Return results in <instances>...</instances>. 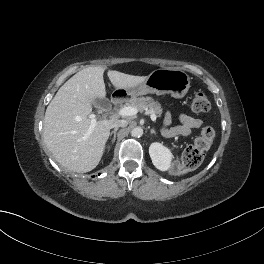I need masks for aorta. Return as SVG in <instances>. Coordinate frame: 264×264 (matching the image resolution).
Here are the masks:
<instances>
[{"label": "aorta", "mask_w": 264, "mask_h": 264, "mask_svg": "<svg viewBox=\"0 0 264 264\" xmlns=\"http://www.w3.org/2000/svg\"><path fill=\"white\" fill-rule=\"evenodd\" d=\"M143 135V129L141 127H135L131 131L132 137H141Z\"/></svg>", "instance_id": "aorta-1"}]
</instances>
